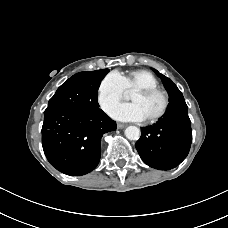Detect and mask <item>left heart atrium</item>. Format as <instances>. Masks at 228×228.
Returning a JSON list of instances; mask_svg holds the SVG:
<instances>
[{"mask_svg": "<svg viewBox=\"0 0 228 228\" xmlns=\"http://www.w3.org/2000/svg\"><path fill=\"white\" fill-rule=\"evenodd\" d=\"M109 115L125 122H140L146 119L141 108L135 103L117 104L110 109Z\"/></svg>", "mask_w": 228, "mask_h": 228, "instance_id": "39dd6f15", "label": "left heart atrium"}]
</instances>
